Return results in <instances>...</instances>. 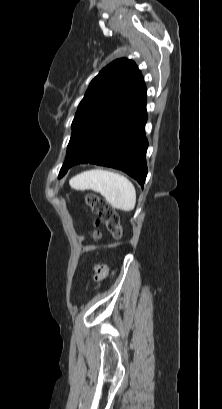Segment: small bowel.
<instances>
[{
  "label": "small bowel",
  "mask_w": 222,
  "mask_h": 409,
  "mask_svg": "<svg viewBox=\"0 0 222 409\" xmlns=\"http://www.w3.org/2000/svg\"><path fill=\"white\" fill-rule=\"evenodd\" d=\"M97 265L94 267V270L97 272L95 275L96 280H102L106 274V268L108 267V262L106 260L96 259Z\"/></svg>",
  "instance_id": "obj_1"
}]
</instances>
